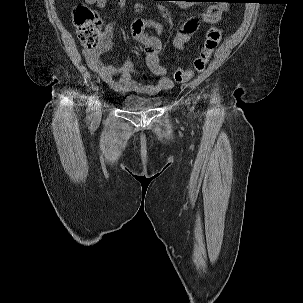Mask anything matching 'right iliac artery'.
<instances>
[{"instance_id":"obj_1","label":"right iliac artery","mask_w":303,"mask_h":303,"mask_svg":"<svg viewBox=\"0 0 303 303\" xmlns=\"http://www.w3.org/2000/svg\"><path fill=\"white\" fill-rule=\"evenodd\" d=\"M94 103H95V97H90L88 101V107H87V118L90 119L92 116V111L94 110Z\"/></svg>"}]
</instances>
